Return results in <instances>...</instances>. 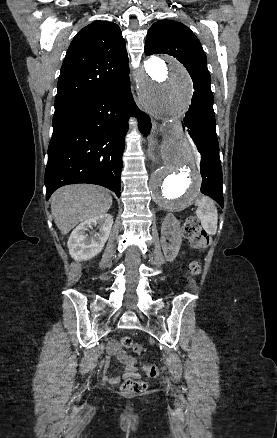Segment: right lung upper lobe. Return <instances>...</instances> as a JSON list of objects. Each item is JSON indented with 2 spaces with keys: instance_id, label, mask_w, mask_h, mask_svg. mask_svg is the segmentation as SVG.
I'll return each mask as SVG.
<instances>
[{
  "instance_id": "cb5924a9",
  "label": "right lung upper lobe",
  "mask_w": 277,
  "mask_h": 438,
  "mask_svg": "<svg viewBox=\"0 0 277 438\" xmlns=\"http://www.w3.org/2000/svg\"><path fill=\"white\" fill-rule=\"evenodd\" d=\"M111 63V71L96 66ZM85 65L83 69H72ZM89 66V67H87ZM129 74L126 44L119 26L96 21L74 37L65 56L57 85L55 110L122 80Z\"/></svg>"
}]
</instances>
